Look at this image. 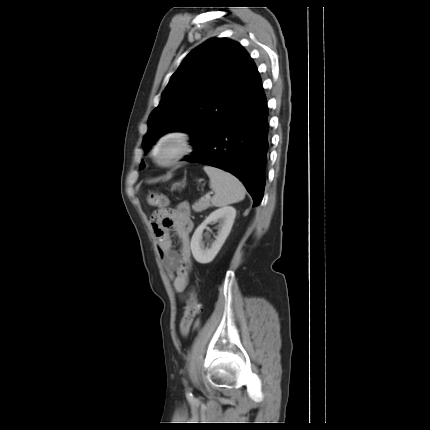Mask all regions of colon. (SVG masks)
<instances>
[{
	"mask_svg": "<svg viewBox=\"0 0 430 430\" xmlns=\"http://www.w3.org/2000/svg\"><path fill=\"white\" fill-rule=\"evenodd\" d=\"M147 202L149 205L157 207L160 212H164L168 210L169 198L163 194L158 192H151L147 197ZM200 312V305L195 295H192L187 306L185 308V312L183 318L181 320V333L183 335H187L190 331V328L194 322L196 315Z\"/></svg>",
	"mask_w": 430,
	"mask_h": 430,
	"instance_id": "1",
	"label": "colon"
}]
</instances>
